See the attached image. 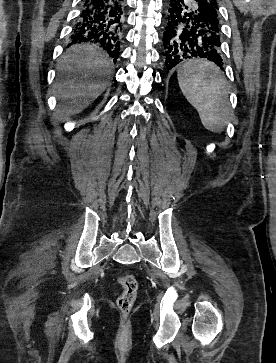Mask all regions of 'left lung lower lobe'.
I'll return each mask as SVG.
<instances>
[{
	"mask_svg": "<svg viewBox=\"0 0 276 363\" xmlns=\"http://www.w3.org/2000/svg\"><path fill=\"white\" fill-rule=\"evenodd\" d=\"M170 1L169 21L163 38L166 72L195 58H206L223 69L217 9L205 0Z\"/></svg>",
	"mask_w": 276,
	"mask_h": 363,
	"instance_id": "1",
	"label": "left lung lower lobe"
}]
</instances>
